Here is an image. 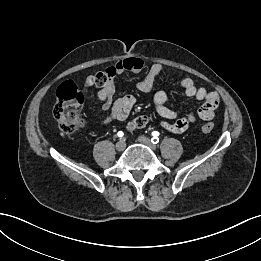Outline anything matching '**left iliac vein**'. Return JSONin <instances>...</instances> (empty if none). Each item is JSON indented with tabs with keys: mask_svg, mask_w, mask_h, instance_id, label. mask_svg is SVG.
I'll use <instances>...</instances> for the list:
<instances>
[{
	"mask_svg": "<svg viewBox=\"0 0 261 261\" xmlns=\"http://www.w3.org/2000/svg\"><path fill=\"white\" fill-rule=\"evenodd\" d=\"M138 141L142 144L148 146L150 149L155 150L156 146L151 142V140L145 136H139Z\"/></svg>",
	"mask_w": 261,
	"mask_h": 261,
	"instance_id": "4c4485c4",
	"label": "left iliac vein"
}]
</instances>
